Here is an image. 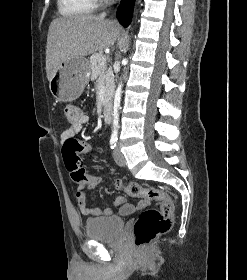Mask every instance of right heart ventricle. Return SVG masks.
Here are the masks:
<instances>
[{
	"label": "right heart ventricle",
	"instance_id": "obj_1",
	"mask_svg": "<svg viewBox=\"0 0 247 280\" xmlns=\"http://www.w3.org/2000/svg\"><path fill=\"white\" fill-rule=\"evenodd\" d=\"M61 15L77 16L90 13L95 8L96 0H57Z\"/></svg>",
	"mask_w": 247,
	"mask_h": 280
}]
</instances>
